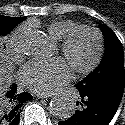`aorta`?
Here are the masks:
<instances>
[{
	"instance_id": "obj_1",
	"label": "aorta",
	"mask_w": 125,
	"mask_h": 125,
	"mask_svg": "<svg viewBox=\"0 0 125 125\" xmlns=\"http://www.w3.org/2000/svg\"><path fill=\"white\" fill-rule=\"evenodd\" d=\"M27 53L39 60L48 59L53 51V43L43 32H34L28 38ZM50 112L59 119L70 118L75 112V102L67 96H58L50 102Z\"/></svg>"
}]
</instances>
